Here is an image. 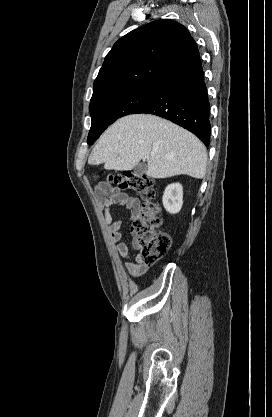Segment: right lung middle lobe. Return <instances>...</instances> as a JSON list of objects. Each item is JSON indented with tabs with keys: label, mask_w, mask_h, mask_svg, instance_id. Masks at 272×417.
<instances>
[{
	"label": "right lung middle lobe",
	"mask_w": 272,
	"mask_h": 417,
	"mask_svg": "<svg viewBox=\"0 0 272 417\" xmlns=\"http://www.w3.org/2000/svg\"><path fill=\"white\" fill-rule=\"evenodd\" d=\"M159 86L130 87L92 101L89 106L92 125L87 139L88 143L92 144L118 118L133 114L135 110L153 96Z\"/></svg>",
	"instance_id": "obj_1"
}]
</instances>
